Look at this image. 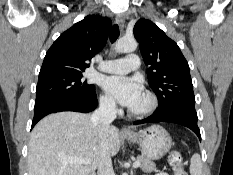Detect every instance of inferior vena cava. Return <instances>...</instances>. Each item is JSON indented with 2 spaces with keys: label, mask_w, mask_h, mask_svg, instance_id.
<instances>
[{
  "label": "inferior vena cava",
  "mask_w": 233,
  "mask_h": 175,
  "mask_svg": "<svg viewBox=\"0 0 233 175\" xmlns=\"http://www.w3.org/2000/svg\"><path fill=\"white\" fill-rule=\"evenodd\" d=\"M116 118V105L113 99H103L100 101L99 108L96 109L92 116L91 122L98 127L100 138L104 142V148L98 165L97 175H115L112 167L111 156L106 146L108 129Z\"/></svg>",
  "instance_id": "602c4592"
}]
</instances>
